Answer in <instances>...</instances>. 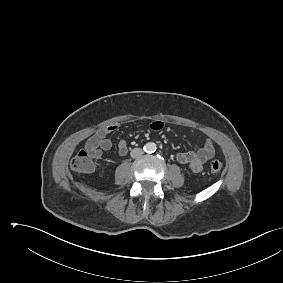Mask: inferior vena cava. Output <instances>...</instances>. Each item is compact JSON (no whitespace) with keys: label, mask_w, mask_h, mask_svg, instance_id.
Here are the masks:
<instances>
[{"label":"inferior vena cava","mask_w":283,"mask_h":283,"mask_svg":"<svg viewBox=\"0 0 283 283\" xmlns=\"http://www.w3.org/2000/svg\"><path fill=\"white\" fill-rule=\"evenodd\" d=\"M143 154V150L141 148H134L130 155L132 158H137L138 156H141Z\"/></svg>","instance_id":"1"}]
</instances>
